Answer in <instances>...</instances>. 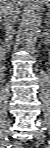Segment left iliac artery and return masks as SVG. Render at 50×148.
Returning a JSON list of instances; mask_svg holds the SVG:
<instances>
[{"mask_svg":"<svg viewBox=\"0 0 50 148\" xmlns=\"http://www.w3.org/2000/svg\"><path fill=\"white\" fill-rule=\"evenodd\" d=\"M40 125H44L42 121L39 122ZM46 127H43V130H46Z\"/></svg>","mask_w":50,"mask_h":148,"instance_id":"44dca946","label":"left iliac artery"}]
</instances>
